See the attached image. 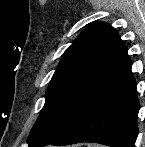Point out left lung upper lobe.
<instances>
[{"label": "left lung upper lobe", "instance_id": "1", "mask_svg": "<svg viewBox=\"0 0 145 147\" xmlns=\"http://www.w3.org/2000/svg\"><path fill=\"white\" fill-rule=\"evenodd\" d=\"M118 38L110 24L93 22L65 51L30 132L29 147H43L67 129Z\"/></svg>", "mask_w": 145, "mask_h": 147}]
</instances>
